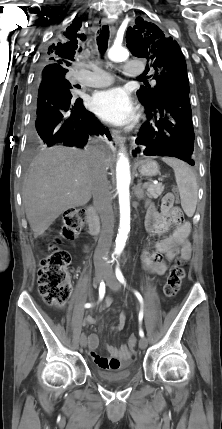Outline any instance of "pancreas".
<instances>
[{
	"label": "pancreas",
	"mask_w": 222,
	"mask_h": 429,
	"mask_svg": "<svg viewBox=\"0 0 222 429\" xmlns=\"http://www.w3.org/2000/svg\"><path fill=\"white\" fill-rule=\"evenodd\" d=\"M145 187L147 189V195L155 199L158 198L164 190V186L162 184H148Z\"/></svg>",
	"instance_id": "cf45deb5"
}]
</instances>
